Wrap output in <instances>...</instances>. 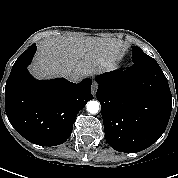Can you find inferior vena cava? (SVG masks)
<instances>
[{
	"mask_svg": "<svg viewBox=\"0 0 178 178\" xmlns=\"http://www.w3.org/2000/svg\"><path fill=\"white\" fill-rule=\"evenodd\" d=\"M70 81L74 82V83H78L81 81L82 76L78 75V74H71L67 77Z\"/></svg>",
	"mask_w": 178,
	"mask_h": 178,
	"instance_id": "1",
	"label": "inferior vena cava"
}]
</instances>
